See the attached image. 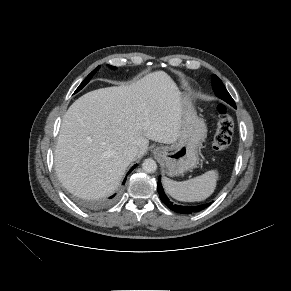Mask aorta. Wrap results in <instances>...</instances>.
<instances>
[{
    "label": "aorta",
    "mask_w": 291,
    "mask_h": 291,
    "mask_svg": "<svg viewBox=\"0 0 291 291\" xmlns=\"http://www.w3.org/2000/svg\"><path fill=\"white\" fill-rule=\"evenodd\" d=\"M142 169L146 172V173H154L157 169V164L156 162L149 158V159H145L142 163Z\"/></svg>",
    "instance_id": "aorta-1"
}]
</instances>
